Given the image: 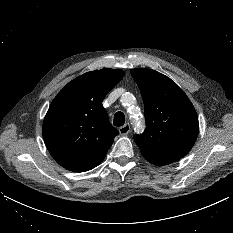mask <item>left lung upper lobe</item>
Segmentation results:
<instances>
[{"label":"left lung upper lobe","mask_w":233,"mask_h":233,"mask_svg":"<svg viewBox=\"0 0 233 233\" xmlns=\"http://www.w3.org/2000/svg\"><path fill=\"white\" fill-rule=\"evenodd\" d=\"M142 94L146 129L134 135L144 157L174 162L193 147L199 131L196 111L181 88L150 69H131Z\"/></svg>","instance_id":"obj_1"}]
</instances>
